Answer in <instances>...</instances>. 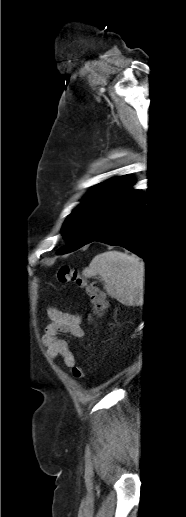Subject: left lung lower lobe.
I'll use <instances>...</instances> for the list:
<instances>
[{
	"label": "left lung lower lobe",
	"mask_w": 186,
	"mask_h": 517,
	"mask_svg": "<svg viewBox=\"0 0 186 517\" xmlns=\"http://www.w3.org/2000/svg\"><path fill=\"white\" fill-rule=\"evenodd\" d=\"M144 217L142 193L129 190L99 221L87 244L100 241L122 246L149 263V254L144 245Z\"/></svg>",
	"instance_id": "1"
}]
</instances>
